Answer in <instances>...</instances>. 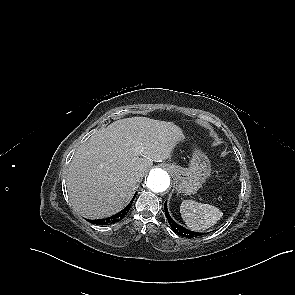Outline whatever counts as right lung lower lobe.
Listing matches in <instances>:
<instances>
[{
	"label": "right lung lower lobe",
	"mask_w": 295,
	"mask_h": 295,
	"mask_svg": "<svg viewBox=\"0 0 295 295\" xmlns=\"http://www.w3.org/2000/svg\"><path fill=\"white\" fill-rule=\"evenodd\" d=\"M134 199H135V197H133V199L130 201V203L123 210L118 212L117 214L110 216L108 218H105V219L89 220V222L92 224L108 225V224H112V223L122 220L124 218V216L129 212Z\"/></svg>",
	"instance_id": "1"
}]
</instances>
